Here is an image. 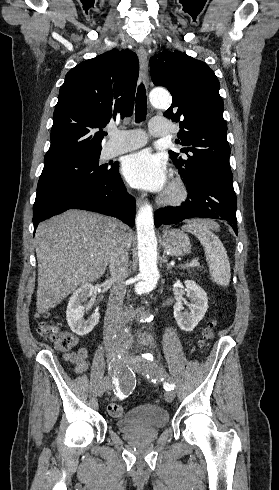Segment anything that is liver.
<instances>
[{
  "instance_id": "6515ba94",
  "label": "liver",
  "mask_w": 279,
  "mask_h": 490,
  "mask_svg": "<svg viewBox=\"0 0 279 490\" xmlns=\"http://www.w3.org/2000/svg\"><path fill=\"white\" fill-rule=\"evenodd\" d=\"M116 222L108 216L68 210L39 224L35 234L39 314L58 306L81 284L102 278L117 230L130 246L128 226L121 222L118 228Z\"/></svg>"
}]
</instances>
